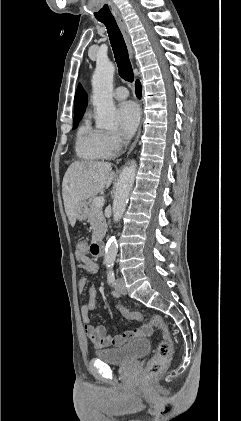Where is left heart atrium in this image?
<instances>
[{
	"label": "left heart atrium",
	"mask_w": 241,
	"mask_h": 421,
	"mask_svg": "<svg viewBox=\"0 0 241 421\" xmlns=\"http://www.w3.org/2000/svg\"><path fill=\"white\" fill-rule=\"evenodd\" d=\"M140 119V112L137 105L132 101H125L119 104L116 111V121L121 133L130 137L135 132Z\"/></svg>",
	"instance_id": "obj_1"
}]
</instances>
